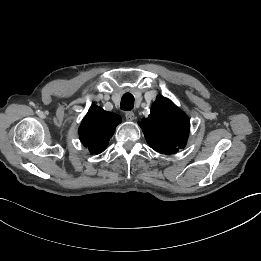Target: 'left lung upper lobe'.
Listing matches in <instances>:
<instances>
[{"instance_id": "left-lung-upper-lobe-1", "label": "left lung upper lobe", "mask_w": 261, "mask_h": 261, "mask_svg": "<svg viewBox=\"0 0 261 261\" xmlns=\"http://www.w3.org/2000/svg\"><path fill=\"white\" fill-rule=\"evenodd\" d=\"M139 125L150 147L164 154H173L184 148L190 130L188 117L163 96L157 97L150 115Z\"/></svg>"}]
</instances>
